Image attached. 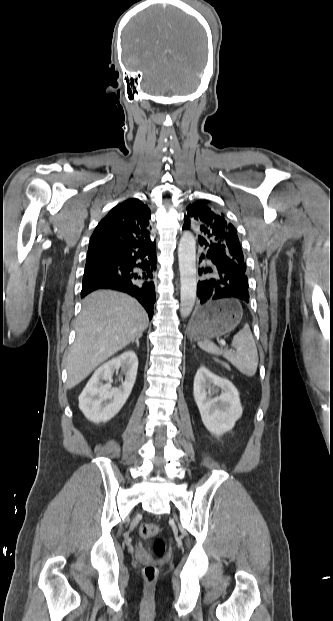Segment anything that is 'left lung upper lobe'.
<instances>
[{"instance_id":"1","label":"left lung upper lobe","mask_w":333,"mask_h":621,"mask_svg":"<svg viewBox=\"0 0 333 621\" xmlns=\"http://www.w3.org/2000/svg\"><path fill=\"white\" fill-rule=\"evenodd\" d=\"M186 210L185 229L194 228L199 234L198 239L206 240L210 246L246 269L237 231L221 211L203 201L188 205Z\"/></svg>"}]
</instances>
